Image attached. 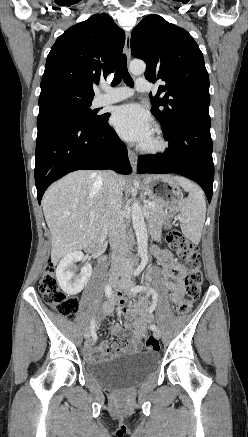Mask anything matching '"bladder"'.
Returning a JSON list of instances; mask_svg holds the SVG:
<instances>
[{
    "label": "bladder",
    "mask_w": 248,
    "mask_h": 437,
    "mask_svg": "<svg viewBox=\"0 0 248 437\" xmlns=\"http://www.w3.org/2000/svg\"><path fill=\"white\" fill-rule=\"evenodd\" d=\"M157 361L153 352L122 354L88 365L87 374L108 387H128L151 373Z\"/></svg>",
    "instance_id": "obj_1"
}]
</instances>
